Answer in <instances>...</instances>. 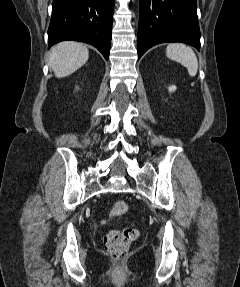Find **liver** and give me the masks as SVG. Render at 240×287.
Segmentation results:
<instances>
[{
    "label": "liver",
    "instance_id": "6515ba94",
    "mask_svg": "<svg viewBox=\"0 0 240 287\" xmlns=\"http://www.w3.org/2000/svg\"><path fill=\"white\" fill-rule=\"evenodd\" d=\"M89 51L82 43L65 41L50 50L49 67L57 78L71 75L88 60Z\"/></svg>",
    "mask_w": 240,
    "mask_h": 287
}]
</instances>
